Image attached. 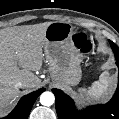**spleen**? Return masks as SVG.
Masks as SVG:
<instances>
[{
  "mask_svg": "<svg viewBox=\"0 0 119 119\" xmlns=\"http://www.w3.org/2000/svg\"><path fill=\"white\" fill-rule=\"evenodd\" d=\"M108 87H109L108 77L105 76L104 74H101L99 80L93 82L91 87H89L88 89L82 88L79 90L89 98L98 99L108 91Z\"/></svg>",
  "mask_w": 119,
  "mask_h": 119,
  "instance_id": "spleen-1",
  "label": "spleen"
}]
</instances>
